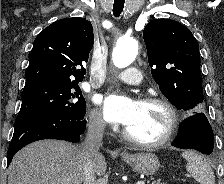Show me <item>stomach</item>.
Segmentation results:
<instances>
[{"mask_svg": "<svg viewBox=\"0 0 224 184\" xmlns=\"http://www.w3.org/2000/svg\"><path fill=\"white\" fill-rule=\"evenodd\" d=\"M123 160L137 173L154 175L160 168L158 157L152 153H137L122 156Z\"/></svg>", "mask_w": 224, "mask_h": 184, "instance_id": "obj_1", "label": "stomach"}]
</instances>
